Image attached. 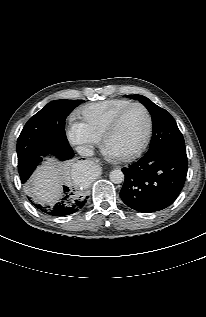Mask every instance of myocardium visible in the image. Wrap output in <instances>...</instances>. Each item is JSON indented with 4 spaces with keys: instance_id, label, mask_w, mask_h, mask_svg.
I'll return each mask as SVG.
<instances>
[{
    "instance_id": "1",
    "label": "myocardium",
    "mask_w": 206,
    "mask_h": 317,
    "mask_svg": "<svg viewBox=\"0 0 206 317\" xmlns=\"http://www.w3.org/2000/svg\"><path fill=\"white\" fill-rule=\"evenodd\" d=\"M134 107L142 108L145 115H146V119H147L146 133H145V136H144V139H143L141 145L137 149H135L134 151H132L130 153L124 154V155H115V157L117 159L122 160V161H129V160L137 158L148 147L150 139H151V135H152V129H153V121H152V116H151L149 109L143 103H140V102H134V103L129 104L128 106L123 108L121 111H119L113 117V119L110 121V123L108 124V126L106 127V129L102 135V145L106 149L107 148V141H108L109 137L118 128V126L120 125L124 116Z\"/></svg>"
}]
</instances>
